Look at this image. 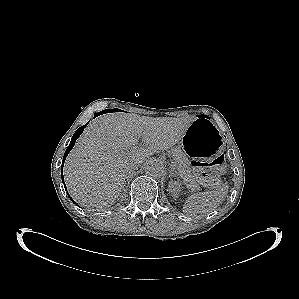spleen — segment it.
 <instances>
[{
    "instance_id": "3e777b00",
    "label": "spleen",
    "mask_w": 299,
    "mask_h": 299,
    "mask_svg": "<svg viewBox=\"0 0 299 299\" xmlns=\"http://www.w3.org/2000/svg\"><path fill=\"white\" fill-rule=\"evenodd\" d=\"M228 190V185L224 184L212 191L191 194L186 198L182 211L193 218L204 217L224 201Z\"/></svg>"
}]
</instances>
